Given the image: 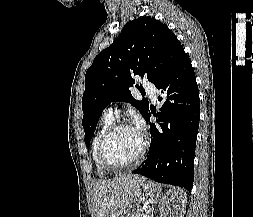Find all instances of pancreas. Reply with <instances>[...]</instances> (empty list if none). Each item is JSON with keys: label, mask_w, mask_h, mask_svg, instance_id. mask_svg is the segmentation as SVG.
<instances>
[{"label": "pancreas", "mask_w": 253, "mask_h": 217, "mask_svg": "<svg viewBox=\"0 0 253 217\" xmlns=\"http://www.w3.org/2000/svg\"><path fill=\"white\" fill-rule=\"evenodd\" d=\"M129 217H153V214H152V211L145 215L144 214V209H137V210H134Z\"/></svg>", "instance_id": "pancreas-1"}]
</instances>
